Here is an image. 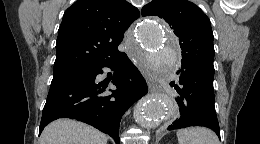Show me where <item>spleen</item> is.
<instances>
[{
  "label": "spleen",
  "instance_id": "1",
  "mask_svg": "<svg viewBox=\"0 0 260 144\" xmlns=\"http://www.w3.org/2000/svg\"><path fill=\"white\" fill-rule=\"evenodd\" d=\"M179 144H219L216 134L204 127H191L177 131Z\"/></svg>",
  "mask_w": 260,
  "mask_h": 144
}]
</instances>
